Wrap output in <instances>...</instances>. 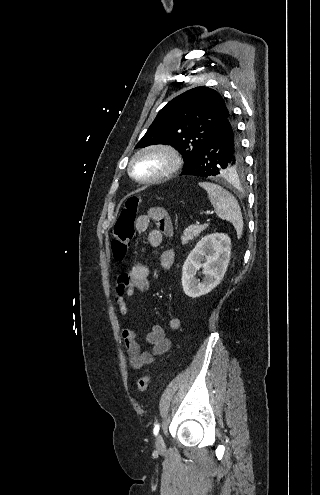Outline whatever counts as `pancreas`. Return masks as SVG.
<instances>
[{
  "label": "pancreas",
  "mask_w": 320,
  "mask_h": 495,
  "mask_svg": "<svg viewBox=\"0 0 320 495\" xmlns=\"http://www.w3.org/2000/svg\"><path fill=\"white\" fill-rule=\"evenodd\" d=\"M208 227L207 224L205 225H190L188 228H186L183 232V235L181 236V241L182 244L185 245L189 241L193 240L194 237H198L199 234L204 231Z\"/></svg>",
  "instance_id": "1"
}]
</instances>
